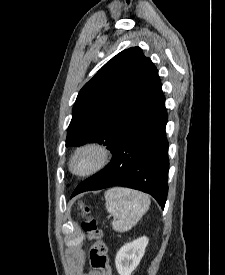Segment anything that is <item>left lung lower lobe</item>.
I'll use <instances>...</instances> for the list:
<instances>
[{
    "instance_id": "obj_1",
    "label": "left lung lower lobe",
    "mask_w": 225,
    "mask_h": 275,
    "mask_svg": "<svg viewBox=\"0 0 225 275\" xmlns=\"http://www.w3.org/2000/svg\"><path fill=\"white\" fill-rule=\"evenodd\" d=\"M167 118L165 97L161 92L111 151V162L80 183L72 197L88 190L124 186L149 193L163 209L169 170Z\"/></svg>"
}]
</instances>
